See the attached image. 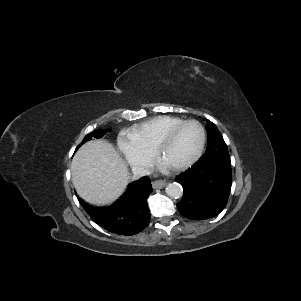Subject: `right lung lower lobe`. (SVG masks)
<instances>
[{
    "label": "right lung lower lobe",
    "mask_w": 301,
    "mask_h": 301,
    "mask_svg": "<svg viewBox=\"0 0 301 301\" xmlns=\"http://www.w3.org/2000/svg\"><path fill=\"white\" fill-rule=\"evenodd\" d=\"M152 186L147 176L134 181L125 195L111 206L94 207L77 197L91 219L105 230L125 236L141 232L150 221L147 198Z\"/></svg>",
    "instance_id": "1"
}]
</instances>
